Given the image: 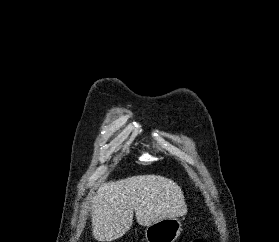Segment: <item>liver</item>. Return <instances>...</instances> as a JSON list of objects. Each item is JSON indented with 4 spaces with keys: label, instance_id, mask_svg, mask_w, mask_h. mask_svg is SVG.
<instances>
[{
    "label": "liver",
    "instance_id": "obj_1",
    "mask_svg": "<svg viewBox=\"0 0 279 242\" xmlns=\"http://www.w3.org/2000/svg\"><path fill=\"white\" fill-rule=\"evenodd\" d=\"M137 222L149 226L169 217L183 216L187 206L183 191L173 180L159 175H138L101 185L92 200L93 236L113 241Z\"/></svg>",
    "mask_w": 279,
    "mask_h": 242
}]
</instances>
